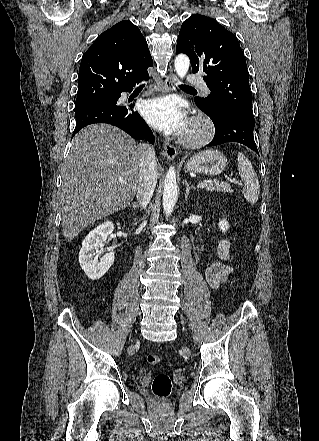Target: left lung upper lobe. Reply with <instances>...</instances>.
I'll list each match as a JSON object with an SVG mask.
<instances>
[{"instance_id":"obj_1","label":"left lung upper lobe","mask_w":319,"mask_h":441,"mask_svg":"<svg viewBox=\"0 0 319 441\" xmlns=\"http://www.w3.org/2000/svg\"><path fill=\"white\" fill-rule=\"evenodd\" d=\"M176 53L189 56L193 73L206 74L211 93L194 99L200 109L212 116L233 111L254 119L247 65L233 33L209 17L192 15L181 26Z\"/></svg>"}]
</instances>
